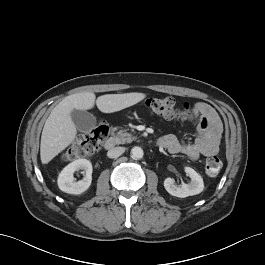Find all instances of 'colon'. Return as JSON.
<instances>
[{
  "mask_svg": "<svg viewBox=\"0 0 265 265\" xmlns=\"http://www.w3.org/2000/svg\"><path fill=\"white\" fill-rule=\"evenodd\" d=\"M145 104L151 112L164 118H178L188 121L195 117L194 108L187 103L179 106L171 97L150 98L146 100ZM108 134V126L105 123L99 124L91 132L81 135L73 141L64 154L65 159H77L94 154ZM221 168L222 162L217 155L207 157L205 162L207 175L217 176Z\"/></svg>",
  "mask_w": 265,
  "mask_h": 265,
  "instance_id": "colon-1",
  "label": "colon"
}]
</instances>
